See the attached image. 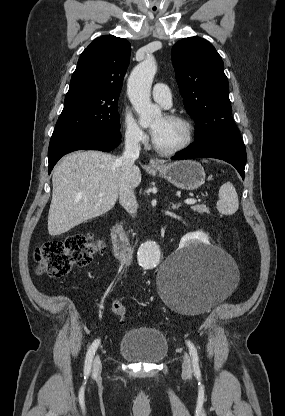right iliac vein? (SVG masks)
<instances>
[{"label": "right iliac vein", "instance_id": "obj_1", "mask_svg": "<svg viewBox=\"0 0 285 416\" xmlns=\"http://www.w3.org/2000/svg\"><path fill=\"white\" fill-rule=\"evenodd\" d=\"M102 369V363L100 356H96L94 362H93V374L98 375Z\"/></svg>", "mask_w": 285, "mask_h": 416}]
</instances>
